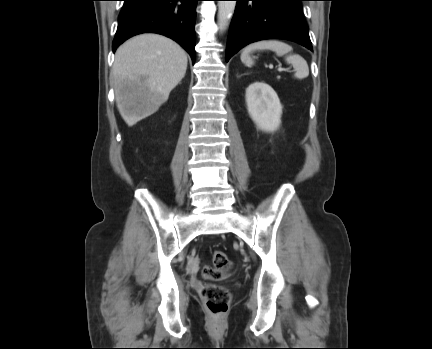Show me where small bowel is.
<instances>
[{
  "label": "small bowel",
  "instance_id": "c3829d8e",
  "mask_svg": "<svg viewBox=\"0 0 432 349\" xmlns=\"http://www.w3.org/2000/svg\"><path fill=\"white\" fill-rule=\"evenodd\" d=\"M228 274H229L228 271L227 272H221V271H218V270L211 268V267H205L204 268V276L206 278H209V279L223 278V277H226Z\"/></svg>",
  "mask_w": 432,
  "mask_h": 349
}]
</instances>
